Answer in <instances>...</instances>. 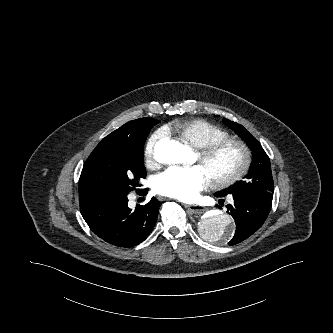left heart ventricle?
<instances>
[{
    "instance_id": "left-heart-ventricle-1",
    "label": "left heart ventricle",
    "mask_w": 333,
    "mask_h": 333,
    "mask_svg": "<svg viewBox=\"0 0 333 333\" xmlns=\"http://www.w3.org/2000/svg\"><path fill=\"white\" fill-rule=\"evenodd\" d=\"M239 158V151L234 147H228L218 152L210 160L200 161L198 158V162L211 177L215 174L226 173L235 167L239 162Z\"/></svg>"
}]
</instances>
